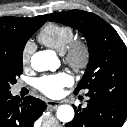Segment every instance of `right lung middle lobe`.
<instances>
[{
    "label": "right lung middle lobe",
    "instance_id": "right-lung-middle-lobe-1",
    "mask_svg": "<svg viewBox=\"0 0 127 127\" xmlns=\"http://www.w3.org/2000/svg\"><path fill=\"white\" fill-rule=\"evenodd\" d=\"M42 24L14 33L0 42V95L10 93V85L23 73L22 53L27 40Z\"/></svg>",
    "mask_w": 127,
    "mask_h": 127
}]
</instances>
